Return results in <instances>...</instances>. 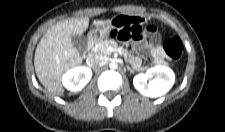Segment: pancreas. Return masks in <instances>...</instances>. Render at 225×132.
Instances as JSON below:
<instances>
[{
  "label": "pancreas",
  "mask_w": 225,
  "mask_h": 132,
  "mask_svg": "<svg viewBox=\"0 0 225 132\" xmlns=\"http://www.w3.org/2000/svg\"><path fill=\"white\" fill-rule=\"evenodd\" d=\"M110 47L116 49L118 47L117 43L114 40H102L92 47V52L101 56H109L111 53L108 50ZM120 52L123 54V56L127 57V50L121 48ZM165 65H168V63L164 62Z\"/></svg>",
  "instance_id": "cf45deb5"
}]
</instances>
